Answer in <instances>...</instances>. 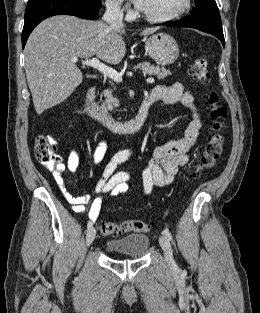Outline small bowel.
<instances>
[{"mask_svg":"<svg viewBox=\"0 0 260 313\" xmlns=\"http://www.w3.org/2000/svg\"><path fill=\"white\" fill-rule=\"evenodd\" d=\"M148 97L152 98L153 102L181 103L191 111L192 120L182 137L154 149L152 159L147 162L139 180L144 194H149L154 187L168 186L173 183L179 169L188 164L189 153L196 146L202 128L194 96L192 92L185 91L180 82H175L171 86H156L150 91ZM106 149V142L101 140L93 153L94 164L103 160ZM133 156L134 151L131 149H125L113 155L106 163L95 185L96 196L94 198L90 195L73 196L67 191L62 177L64 166L58 169L55 181L74 212L87 213L91 221H96L103 204V195L118 196L131 191L130 181L133 175L127 171L117 172L116 169L120 164L131 160ZM79 163L80 152L78 149H73L68 156L66 168L70 172H75ZM88 204H90L89 208H87Z\"/></svg>","mask_w":260,"mask_h":313,"instance_id":"small-bowel-1","label":"small bowel"}]
</instances>
